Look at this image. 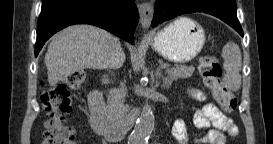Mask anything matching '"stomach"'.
<instances>
[{"label": "stomach", "instance_id": "1", "mask_svg": "<svg viewBox=\"0 0 273 144\" xmlns=\"http://www.w3.org/2000/svg\"><path fill=\"white\" fill-rule=\"evenodd\" d=\"M152 49L168 61L186 63L205 43V31L188 17H179L148 39Z\"/></svg>", "mask_w": 273, "mask_h": 144}]
</instances>
